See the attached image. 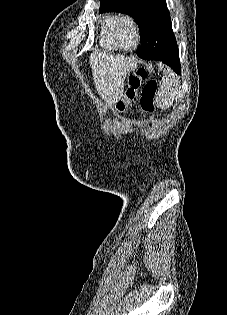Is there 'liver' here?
<instances>
[{
	"label": "liver",
	"mask_w": 227,
	"mask_h": 315,
	"mask_svg": "<svg viewBox=\"0 0 227 315\" xmlns=\"http://www.w3.org/2000/svg\"><path fill=\"white\" fill-rule=\"evenodd\" d=\"M93 78L97 92L108 105L123 97L127 73L136 67L133 59L95 52L90 56Z\"/></svg>",
	"instance_id": "obj_1"
}]
</instances>
